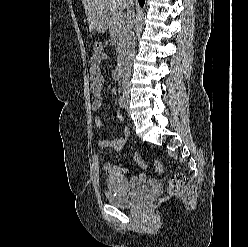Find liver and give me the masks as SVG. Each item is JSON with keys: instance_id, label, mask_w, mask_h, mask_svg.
Returning <instances> with one entry per match:
<instances>
[{"instance_id": "1", "label": "liver", "mask_w": 248, "mask_h": 247, "mask_svg": "<svg viewBox=\"0 0 248 247\" xmlns=\"http://www.w3.org/2000/svg\"><path fill=\"white\" fill-rule=\"evenodd\" d=\"M82 3L87 16L89 30L92 31L98 20L108 11L120 12L124 10L128 0H82Z\"/></svg>"}]
</instances>
